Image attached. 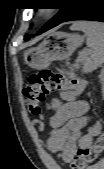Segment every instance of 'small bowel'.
Returning <instances> with one entry per match:
<instances>
[{
  "label": "small bowel",
  "mask_w": 104,
  "mask_h": 169,
  "mask_svg": "<svg viewBox=\"0 0 104 169\" xmlns=\"http://www.w3.org/2000/svg\"><path fill=\"white\" fill-rule=\"evenodd\" d=\"M61 100L53 99L50 117L51 130L48 133V148L59 153L64 162L73 159L79 148L89 146L100 132V125L86 128L88 103L79 100L73 91L61 93Z\"/></svg>",
  "instance_id": "1"
}]
</instances>
